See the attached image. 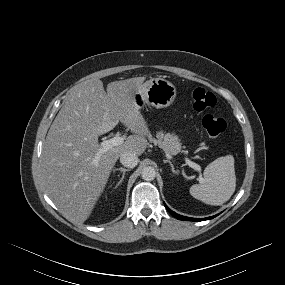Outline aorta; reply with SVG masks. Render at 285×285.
Segmentation results:
<instances>
[{"instance_id":"762f6f07","label":"aorta","mask_w":285,"mask_h":285,"mask_svg":"<svg viewBox=\"0 0 285 285\" xmlns=\"http://www.w3.org/2000/svg\"><path fill=\"white\" fill-rule=\"evenodd\" d=\"M156 176V171L153 167L147 166L142 169L141 177L145 181H152Z\"/></svg>"}]
</instances>
